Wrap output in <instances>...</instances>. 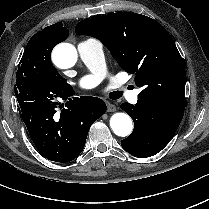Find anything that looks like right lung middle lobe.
I'll return each mask as SVG.
<instances>
[{
	"label": "right lung middle lobe",
	"mask_w": 209,
	"mask_h": 209,
	"mask_svg": "<svg viewBox=\"0 0 209 209\" xmlns=\"http://www.w3.org/2000/svg\"><path fill=\"white\" fill-rule=\"evenodd\" d=\"M48 34L49 32L36 33L29 40L19 63L16 81L29 79L64 89L69 84L52 66L51 51L55 43L48 38Z\"/></svg>",
	"instance_id": "obj_1"
}]
</instances>
